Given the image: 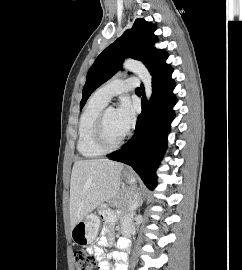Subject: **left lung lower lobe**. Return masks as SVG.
Returning <instances> with one entry per match:
<instances>
[{
    "mask_svg": "<svg viewBox=\"0 0 242 270\" xmlns=\"http://www.w3.org/2000/svg\"><path fill=\"white\" fill-rule=\"evenodd\" d=\"M172 72L164 63L151 72L153 93L147 107L142 86V113L137 119L135 134L125 147L107 155L111 160L132 166L151 190L157 184L155 172L166 150L167 134L174 119L172 107L177 100L172 93L175 87Z\"/></svg>",
    "mask_w": 242,
    "mask_h": 270,
    "instance_id": "obj_1",
    "label": "left lung lower lobe"
}]
</instances>
